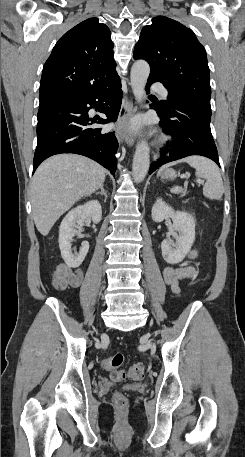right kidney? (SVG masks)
<instances>
[{
	"label": "right kidney",
	"instance_id": "ca27d5eb",
	"mask_svg": "<svg viewBox=\"0 0 245 457\" xmlns=\"http://www.w3.org/2000/svg\"><path fill=\"white\" fill-rule=\"evenodd\" d=\"M102 216V208L99 200H89L85 204H80L76 208L69 210L68 214L64 216L59 226V247L60 251L67 253L71 269H77L83 263L89 249V243L83 241L81 243L80 251L72 249V241L75 235H78L77 229L83 226L85 220H93V222H100Z\"/></svg>",
	"mask_w": 245,
	"mask_h": 457
}]
</instances>
